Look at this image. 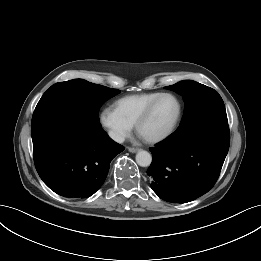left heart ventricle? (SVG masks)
Segmentation results:
<instances>
[{
    "instance_id": "left-heart-ventricle-1",
    "label": "left heart ventricle",
    "mask_w": 261,
    "mask_h": 261,
    "mask_svg": "<svg viewBox=\"0 0 261 261\" xmlns=\"http://www.w3.org/2000/svg\"><path fill=\"white\" fill-rule=\"evenodd\" d=\"M177 112V104L170 97L162 98L154 107L150 117L141 126L139 134L143 138L154 137L165 131Z\"/></svg>"
}]
</instances>
